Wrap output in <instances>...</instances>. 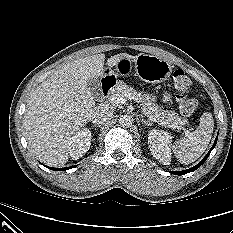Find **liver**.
<instances>
[{"mask_svg": "<svg viewBox=\"0 0 233 233\" xmlns=\"http://www.w3.org/2000/svg\"><path fill=\"white\" fill-rule=\"evenodd\" d=\"M120 53L107 60L109 68L123 58ZM104 54H95L62 65L31 94L24 114V129L31 151L49 166H62L69 158L68 142L95 112L89 78L104 75Z\"/></svg>", "mask_w": 233, "mask_h": 233, "instance_id": "1", "label": "liver"}]
</instances>
